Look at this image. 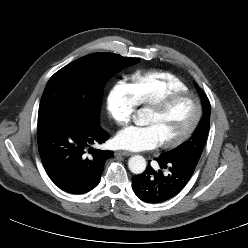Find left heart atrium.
<instances>
[{
  "mask_svg": "<svg viewBox=\"0 0 248 248\" xmlns=\"http://www.w3.org/2000/svg\"><path fill=\"white\" fill-rule=\"evenodd\" d=\"M155 128L151 125L130 126L119 131L115 144L122 149L131 151L149 150L160 144Z\"/></svg>",
  "mask_w": 248,
  "mask_h": 248,
  "instance_id": "39dd6f15",
  "label": "left heart atrium"
}]
</instances>
